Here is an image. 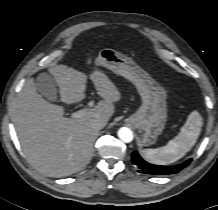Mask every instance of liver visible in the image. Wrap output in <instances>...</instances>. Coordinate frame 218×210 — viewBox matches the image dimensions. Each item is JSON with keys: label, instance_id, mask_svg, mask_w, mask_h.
<instances>
[{"label": "liver", "instance_id": "obj_1", "mask_svg": "<svg viewBox=\"0 0 218 210\" xmlns=\"http://www.w3.org/2000/svg\"><path fill=\"white\" fill-rule=\"evenodd\" d=\"M96 66H98L95 63ZM59 86L61 101L66 104L85 98L86 76L65 65L49 69ZM98 95L103 99L81 118H66L62 106L51 104L37 93L32 79L26 81L14 105L13 122L22 150L41 173L61 178L82 170L93 155L98 130L96 120L108 121L114 102L121 94L101 70L91 74Z\"/></svg>", "mask_w": 218, "mask_h": 210}]
</instances>
